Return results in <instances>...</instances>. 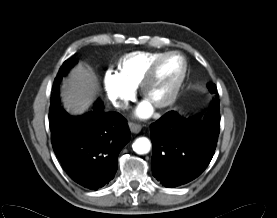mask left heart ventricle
<instances>
[{
  "mask_svg": "<svg viewBox=\"0 0 277 218\" xmlns=\"http://www.w3.org/2000/svg\"><path fill=\"white\" fill-rule=\"evenodd\" d=\"M182 71V61L177 56L165 58L158 66L155 77L147 89L146 99L154 105L169 94Z\"/></svg>",
  "mask_w": 277,
  "mask_h": 218,
  "instance_id": "b2bd125f",
  "label": "left heart ventricle"
}]
</instances>
